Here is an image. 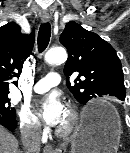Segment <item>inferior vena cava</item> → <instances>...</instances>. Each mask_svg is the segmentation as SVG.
Instances as JSON below:
<instances>
[{"label": "inferior vena cava", "instance_id": "obj_1", "mask_svg": "<svg viewBox=\"0 0 130 153\" xmlns=\"http://www.w3.org/2000/svg\"><path fill=\"white\" fill-rule=\"evenodd\" d=\"M22 142L26 153H39L41 126L39 123L25 125L21 128Z\"/></svg>", "mask_w": 130, "mask_h": 153}]
</instances>
